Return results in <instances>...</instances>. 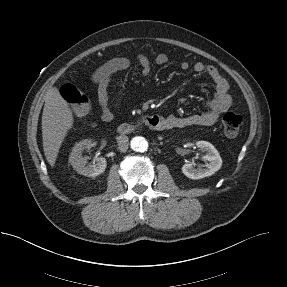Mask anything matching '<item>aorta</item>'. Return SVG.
<instances>
[{
	"label": "aorta",
	"mask_w": 287,
	"mask_h": 287,
	"mask_svg": "<svg viewBox=\"0 0 287 287\" xmlns=\"http://www.w3.org/2000/svg\"><path fill=\"white\" fill-rule=\"evenodd\" d=\"M130 146L134 151L145 152L148 149V142L144 137L137 136L132 138Z\"/></svg>",
	"instance_id": "762f6f07"
}]
</instances>
